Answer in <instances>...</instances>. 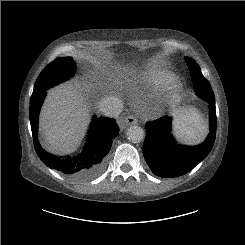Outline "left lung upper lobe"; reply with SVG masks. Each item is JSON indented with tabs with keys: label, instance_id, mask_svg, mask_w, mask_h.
I'll return each instance as SVG.
<instances>
[{
	"label": "left lung upper lobe",
	"instance_id": "left-lung-upper-lobe-1",
	"mask_svg": "<svg viewBox=\"0 0 245 245\" xmlns=\"http://www.w3.org/2000/svg\"><path fill=\"white\" fill-rule=\"evenodd\" d=\"M188 68L190 70V74L194 83V90L199 95H207L210 94L212 88L207 81V79L202 75L201 69L199 65L195 63L192 59L185 57L184 58Z\"/></svg>",
	"mask_w": 245,
	"mask_h": 245
}]
</instances>
